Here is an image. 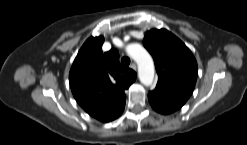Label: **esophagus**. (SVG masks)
Wrapping results in <instances>:
<instances>
[{
	"label": "esophagus",
	"instance_id": "esophagus-1",
	"mask_svg": "<svg viewBox=\"0 0 247 145\" xmlns=\"http://www.w3.org/2000/svg\"><path fill=\"white\" fill-rule=\"evenodd\" d=\"M130 67L133 69V70H137V65L135 62H132V64L130 65Z\"/></svg>",
	"mask_w": 247,
	"mask_h": 145
}]
</instances>
